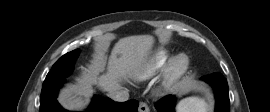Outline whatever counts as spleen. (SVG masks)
<instances>
[{"label": "spleen", "mask_w": 270, "mask_h": 112, "mask_svg": "<svg viewBox=\"0 0 270 112\" xmlns=\"http://www.w3.org/2000/svg\"><path fill=\"white\" fill-rule=\"evenodd\" d=\"M177 112H209V106L204 99L187 97L182 99L176 107Z\"/></svg>", "instance_id": "spleen-1"}]
</instances>
